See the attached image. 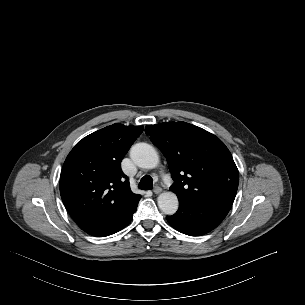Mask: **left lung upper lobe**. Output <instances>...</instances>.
<instances>
[{
	"label": "left lung upper lobe",
	"instance_id": "left-lung-upper-lobe-1",
	"mask_svg": "<svg viewBox=\"0 0 305 305\" xmlns=\"http://www.w3.org/2000/svg\"><path fill=\"white\" fill-rule=\"evenodd\" d=\"M145 132L164 153L179 201L233 204L239 172L224 143L208 131L186 122L148 125Z\"/></svg>",
	"mask_w": 305,
	"mask_h": 305
}]
</instances>
